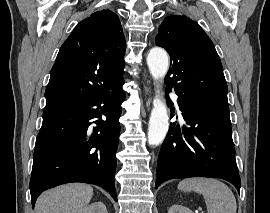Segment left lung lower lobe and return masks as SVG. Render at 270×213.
<instances>
[{"label": "left lung lower lobe", "mask_w": 270, "mask_h": 213, "mask_svg": "<svg viewBox=\"0 0 270 213\" xmlns=\"http://www.w3.org/2000/svg\"><path fill=\"white\" fill-rule=\"evenodd\" d=\"M176 94L186 126L181 136L180 127L170 124L158 158L156 188L175 178L212 177L231 182L240 192L229 107Z\"/></svg>", "instance_id": "1"}]
</instances>
